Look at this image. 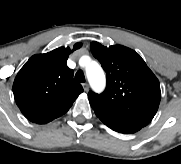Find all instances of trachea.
<instances>
[{
	"instance_id": "3493384b",
	"label": "trachea",
	"mask_w": 181,
	"mask_h": 164,
	"mask_svg": "<svg viewBox=\"0 0 181 164\" xmlns=\"http://www.w3.org/2000/svg\"><path fill=\"white\" fill-rule=\"evenodd\" d=\"M75 80L78 82H81V83L85 82V75H84L83 71L79 70L76 72Z\"/></svg>"
}]
</instances>
